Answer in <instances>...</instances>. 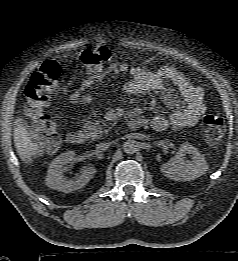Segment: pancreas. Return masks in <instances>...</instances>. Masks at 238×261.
Segmentation results:
<instances>
[{
	"mask_svg": "<svg viewBox=\"0 0 238 261\" xmlns=\"http://www.w3.org/2000/svg\"><path fill=\"white\" fill-rule=\"evenodd\" d=\"M107 123L103 120L97 121H86L84 123V133L86 134L87 138L96 140L103 136V134H107L109 129H105L107 127Z\"/></svg>",
	"mask_w": 238,
	"mask_h": 261,
	"instance_id": "pancreas-1",
	"label": "pancreas"
}]
</instances>
